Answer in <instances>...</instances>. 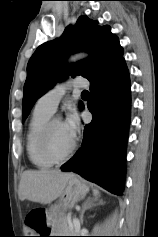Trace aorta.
<instances>
[{
  "instance_id": "762f6f07",
  "label": "aorta",
  "mask_w": 158,
  "mask_h": 237,
  "mask_svg": "<svg viewBox=\"0 0 158 237\" xmlns=\"http://www.w3.org/2000/svg\"><path fill=\"white\" fill-rule=\"evenodd\" d=\"M84 57H86V54H84V53L76 54V55L71 56V57L69 58V62H76V61H78L79 59L84 58Z\"/></svg>"
}]
</instances>
